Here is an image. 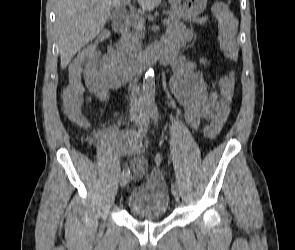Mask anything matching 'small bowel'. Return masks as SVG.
Wrapping results in <instances>:
<instances>
[{
    "mask_svg": "<svg viewBox=\"0 0 295 250\" xmlns=\"http://www.w3.org/2000/svg\"><path fill=\"white\" fill-rule=\"evenodd\" d=\"M191 38L189 29L177 26L167 32L163 45L168 62L172 65L171 91L184 107L189 126L198 129L203 120L213 121L221 113L222 105L220 94L210 89L197 72L195 64L181 54ZM116 56L113 49L104 55L82 50L70 63L68 77L80 80L83 76L88 89V100L105 101L111 90L119 89L123 84L115 75ZM139 149V146H132L134 152L138 153ZM146 167L147 162L141 155L131 161L132 171L136 175L143 174Z\"/></svg>",
    "mask_w": 295,
    "mask_h": 250,
    "instance_id": "obj_1",
    "label": "small bowel"
}]
</instances>
